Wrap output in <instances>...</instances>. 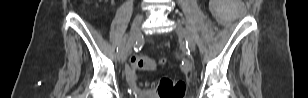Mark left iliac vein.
Masks as SVG:
<instances>
[{
	"label": "left iliac vein",
	"mask_w": 308,
	"mask_h": 98,
	"mask_svg": "<svg viewBox=\"0 0 308 98\" xmlns=\"http://www.w3.org/2000/svg\"><path fill=\"white\" fill-rule=\"evenodd\" d=\"M175 31L183 36L188 42H189V45L191 47V49L195 52L196 51V44H195V40L193 38V36L191 35V33L183 26H176L175 27Z\"/></svg>",
	"instance_id": "left-iliac-vein-1"
}]
</instances>
